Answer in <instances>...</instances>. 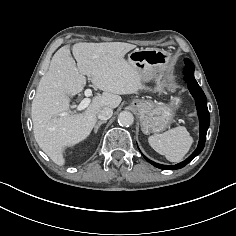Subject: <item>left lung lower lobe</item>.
Instances as JSON below:
<instances>
[{
    "instance_id": "obj_1",
    "label": "left lung lower lobe",
    "mask_w": 236,
    "mask_h": 236,
    "mask_svg": "<svg viewBox=\"0 0 236 236\" xmlns=\"http://www.w3.org/2000/svg\"><path fill=\"white\" fill-rule=\"evenodd\" d=\"M185 62V75L186 81L189 88L190 93L193 95L196 103V108L200 120V139L198 143L197 149L183 162L169 166V165H161L150 161L148 158L144 156V158L149 161L155 167L164 170H176L183 168L186 166L192 159H194L204 148L207 130L210 124V115L207 108V100L203 90L198 85L197 81L194 78V65L189 59H184Z\"/></svg>"
}]
</instances>
